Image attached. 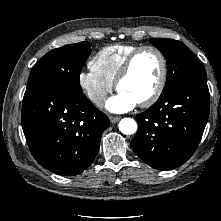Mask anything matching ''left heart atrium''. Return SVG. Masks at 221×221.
<instances>
[{
  "label": "left heart atrium",
  "instance_id": "obj_1",
  "mask_svg": "<svg viewBox=\"0 0 221 221\" xmlns=\"http://www.w3.org/2000/svg\"><path fill=\"white\" fill-rule=\"evenodd\" d=\"M137 105L138 101L136 99L119 91L117 95L107 101L106 108L113 113H123L132 110Z\"/></svg>",
  "mask_w": 221,
  "mask_h": 221
}]
</instances>
